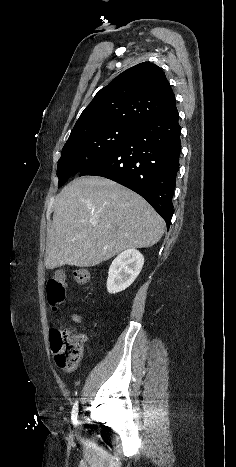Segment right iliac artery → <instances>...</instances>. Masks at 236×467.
Returning <instances> with one entry per match:
<instances>
[{
  "label": "right iliac artery",
  "mask_w": 236,
  "mask_h": 467,
  "mask_svg": "<svg viewBox=\"0 0 236 467\" xmlns=\"http://www.w3.org/2000/svg\"><path fill=\"white\" fill-rule=\"evenodd\" d=\"M77 415H78V401L74 403L72 413H71V418L74 424L77 423Z\"/></svg>",
  "instance_id": "obj_1"
}]
</instances>
